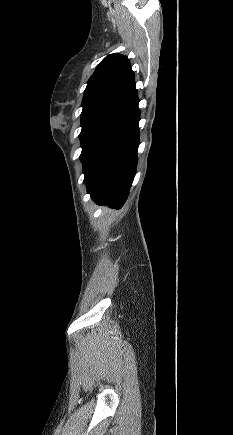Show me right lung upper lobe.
<instances>
[{
	"label": "right lung upper lobe",
	"instance_id": "obj_1",
	"mask_svg": "<svg viewBox=\"0 0 233 435\" xmlns=\"http://www.w3.org/2000/svg\"><path fill=\"white\" fill-rule=\"evenodd\" d=\"M138 103L130 61L126 56L114 53L100 62L87 82L81 117L101 113L125 117Z\"/></svg>",
	"mask_w": 233,
	"mask_h": 435
}]
</instances>
